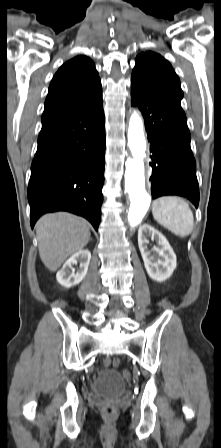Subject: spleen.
<instances>
[{"instance_id": "spleen-1", "label": "spleen", "mask_w": 221, "mask_h": 448, "mask_svg": "<svg viewBox=\"0 0 221 448\" xmlns=\"http://www.w3.org/2000/svg\"><path fill=\"white\" fill-rule=\"evenodd\" d=\"M154 219L174 235L186 237L194 226L193 213L186 201L176 196H164L152 204Z\"/></svg>"}]
</instances>
